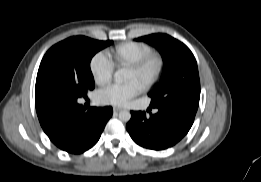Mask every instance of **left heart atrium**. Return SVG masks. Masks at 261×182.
Wrapping results in <instances>:
<instances>
[{"instance_id": "39dd6f15", "label": "left heart atrium", "mask_w": 261, "mask_h": 182, "mask_svg": "<svg viewBox=\"0 0 261 182\" xmlns=\"http://www.w3.org/2000/svg\"><path fill=\"white\" fill-rule=\"evenodd\" d=\"M138 81H129L126 84H112L98 91L97 100L104 105L126 106L132 98L142 91Z\"/></svg>"}]
</instances>
